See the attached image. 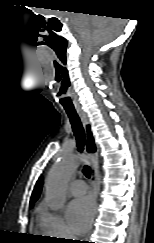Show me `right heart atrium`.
Masks as SVG:
<instances>
[{"label": "right heart atrium", "instance_id": "d8ad5b80", "mask_svg": "<svg viewBox=\"0 0 154 243\" xmlns=\"http://www.w3.org/2000/svg\"><path fill=\"white\" fill-rule=\"evenodd\" d=\"M40 227L42 232L51 238L67 239L74 237L63 215L47 206H44L40 212Z\"/></svg>", "mask_w": 154, "mask_h": 243}]
</instances>
